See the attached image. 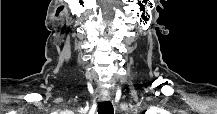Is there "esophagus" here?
<instances>
[{
    "label": "esophagus",
    "mask_w": 217,
    "mask_h": 114,
    "mask_svg": "<svg viewBox=\"0 0 217 114\" xmlns=\"http://www.w3.org/2000/svg\"><path fill=\"white\" fill-rule=\"evenodd\" d=\"M100 100L101 101H109L110 100V96L109 95L100 96Z\"/></svg>",
    "instance_id": "esophagus-1"
}]
</instances>
